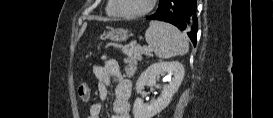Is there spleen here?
<instances>
[{"label":"spleen","mask_w":273,"mask_h":118,"mask_svg":"<svg viewBox=\"0 0 273 118\" xmlns=\"http://www.w3.org/2000/svg\"><path fill=\"white\" fill-rule=\"evenodd\" d=\"M145 39L156 56L164 59L184 55L189 49L187 36L164 22L151 21Z\"/></svg>","instance_id":"1"}]
</instances>
